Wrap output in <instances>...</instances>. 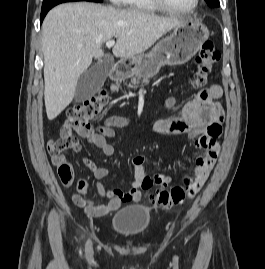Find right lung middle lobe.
<instances>
[{"instance_id":"right-lung-middle-lobe-1","label":"right lung middle lobe","mask_w":265,"mask_h":269,"mask_svg":"<svg viewBox=\"0 0 265 269\" xmlns=\"http://www.w3.org/2000/svg\"><path fill=\"white\" fill-rule=\"evenodd\" d=\"M92 2H99L101 3L103 0H91Z\"/></svg>"}]
</instances>
